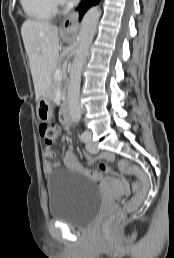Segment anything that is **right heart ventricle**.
Here are the masks:
<instances>
[{
	"label": "right heart ventricle",
	"mask_w": 174,
	"mask_h": 258,
	"mask_svg": "<svg viewBox=\"0 0 174 258\" xmlns=\"http://www.w3.org/2000/svg\"><path fill=\"white\" fill-rule=\"evenodd\" d=\"M25 15L35 21L53 18L57 10L56 0H20Z\"/></svg>",
	"instance_id": "1"
}]
</instances>
